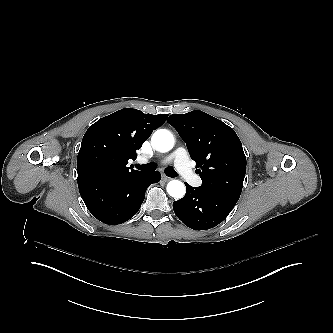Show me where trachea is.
<instances>
[{"label":"trachea","instance_id":"trachea-1","mask_svg":"<svg viewBox=\"0 0 333 333\" xmlns=\"http://www.w3.org/2000/svg\"><path fill=\"white\" fill-rule=\"evenodd\" d=\"M135 166H136L137 169H139L141 171H144V172H152L156 169V164H154L152 162L148 163V164H145V165L136 164ZM164 172L168 177H176L177 176V172L172 167H167L164 170Z\"/></svg>","mask_w":333,"mask_h":333}]
</instances>
